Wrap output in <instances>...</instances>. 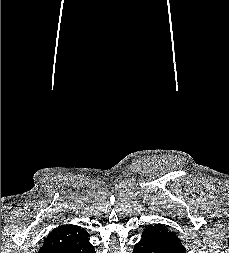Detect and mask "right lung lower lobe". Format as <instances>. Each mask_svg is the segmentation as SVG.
Segmentation results:
<instances>
[{"mask_svg":"<svg viewBox=\"0 0 229 253\" xmlns=\"http://www.w3.org/2000/svg\"><path fill=\"white\" fill-rule=\"evenodd\" d=\"M59 253H95V249L87 239L67 250L60 251Z\"/></svg>","mask_w":229,"mask_h":253,"instance_id":"right-lung-lower-lobe-1","label":"right lung lower lobe"}]
</instances>
